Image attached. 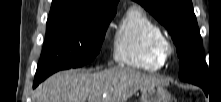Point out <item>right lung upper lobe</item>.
<instances>
[{
	"label": "right lung upper lobe",
	"instance_id": "cb5924a9",
	"mask_svg": "<svg viewBox=\"0 0 221 102\" xmlns=\"http://www.w3.org/2000/svg\"><path fill=\"white\" fill-rule=\"evenodd\" d=\"M119 0H53L50 13L116 10Z\"/></svg>",
	"mask_w": 221,
	"mask_h": 102
}]
</instances>
